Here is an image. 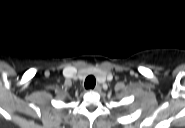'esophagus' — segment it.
I'll use <instances>...</instances> for the list:
<instances>
[{
	"label": "esophagus",
	"instance_id": "obj_1",
	"mask_svg": "<svg viewBox=\"0 0 185 128\" xmlns=\"http://www.w3.org/2000/svg\"><path fill=\"white\" fill-rule=\"evenodd\" d=\"M94 91L96 92H100L101 91V86L100 85H96L94 88H93Z\"/></svg>",
	"mask_w": 185,
	"mask_h": 128
}]
</instances>
